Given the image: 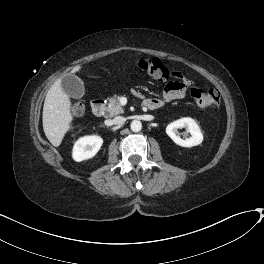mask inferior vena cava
<instances>
[{
	"label": "inferior vena cava",
	"mask_w": 264,
	"mask_h": 264,
	"mask_svg": "<svg viewBox=\"0 0 264 264\" xmlns=\"http://www.w3.org/2000/svg\"><path fill=\"white\" fill-rule=\"evenodd\" d=\"M112 121L115 125H121L126 121V119L125 117L118 116V117H115Z\"/></svg>",
	"instance_id": "602c4592"
}]
</instances>
